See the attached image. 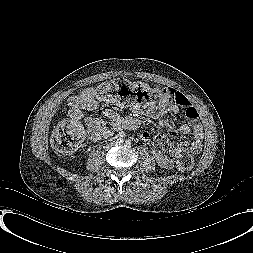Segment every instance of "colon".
Segmentation results:
<instances>
[{
    "label": "colon",
    "instance_id": "5ec220e1",
    "mask_svg": "<svg viewBox=\"0 0 253 253\" xmlns=\"http://www.w3.org/2000/svg\"><path fill=\"white\" fill-rule=\"evenodd\" d=\"M97 96L108 103L132 106L144 109L156 106L168 99L164 88H155L143 83H131L114 80L101 83L96 88ZM84 141V131L76 121H64L57 127L52 137L54 150L62 155L76 152ZM177 166L188 171L193 166V156L188 150H181L177 155Z\"/></svg>",
    "mask_w": 253,
    "mask_h": 253
}]
</instances>
